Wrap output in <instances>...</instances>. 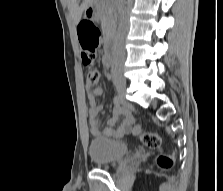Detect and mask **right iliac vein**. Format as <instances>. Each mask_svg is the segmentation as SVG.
<instances>
[{
    "label": "right iliac vein",
    "instance_id": "1",
    "mask_svg": "<svg viewBox=\"0 0 223 191\" xmlns=\"http://www.w3.org/2000/svg\"><path fill=\"white\" fill-rule=\"evenodd\" d=\"M114 86L121 97H124L126 92V81L125 80H114Z\"/></svg>",
    "mask_w": 223,
    "mask_h": 191
}]
</instances>
